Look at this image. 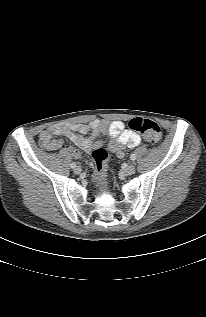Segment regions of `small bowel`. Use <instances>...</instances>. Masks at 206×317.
I'll list each match as a JSON object with an SVG mask.
<instances>
[{"label": "small bowel", "mask_w": 206, "mask_h": 317, "mask_svg": "<svg viewBox=\"0 0 206 317\" xmlns=\"http://www.w3.org/2000/svg\"><path fill=\"white\" fill-rule=\"evenodd\" d=\"M90 132L89 137L83 136ZM101 134L109 138L107 145L119 158L124 157L126 147H136L141 143V137L134 131L127 129L122 121L108 122L101 119H95L86 124L48 127L39 134V140L45 149L55 151L64 148L62 139L58 137H65L83 151L91 152L102 146V142L97 140ZM68 152L74 158L81 156L80 152L73 147H70Z\"/></svg>", "instance_id": "small-bowel-1"}]
</instances>
